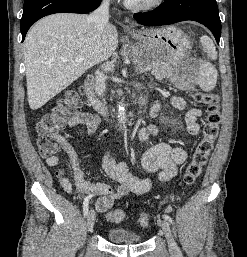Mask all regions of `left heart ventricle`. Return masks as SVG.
<instances>
[{
    "label": "left heart ventricle",
    "instance_id": "1",
    "mask_svg": "<svg viewBox=\"0 0 247 257\" xmlns=\"http://www.w3.org/2000/svg\"><path fill=\"white\" fill-rule=\"evenodd\" d=\"M132 1L141 2V1H146V0H132Z\"/></svg>",
    "mask_w": 247,
    "mask_h": 257
}]
</instances>
